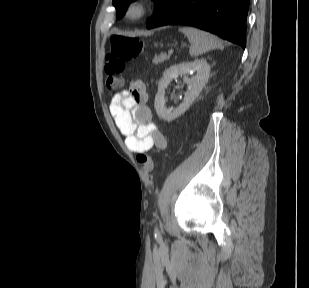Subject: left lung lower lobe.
<instances>
[{
  "label": "left lung lower lobe",
  "instance_id": "left-lung-lower-lobe-1",
  "mask_svg": "<svg viewBox=\"0 0 309 288\" xmlns=\"http://www.w3.org/2000/svg\"><path fill=\"white\" fill-rule=\"evenodd\" d=\"M250 0H172L147 24L194 26L246 46V19Z\"/></svg>",
  "mask_w": 309,
  "mask_h": 288
}]
</instances>
